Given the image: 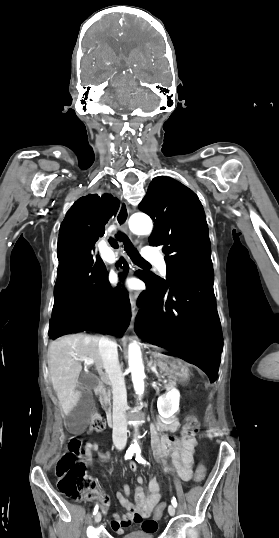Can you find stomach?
I'll return each instance as SVG.
<instances>
[{
    "label": "stomach",
    "instance_id": "obj_1",
    "mask_svg": "<svg viewBox=\"0 0 279 538\" xmlns=\"http://www.w3.org/2000/svg\"><path fill=\"white\" fill-rule=\"evenodd\" d=\"M155 364L160 366L163 374H173L175 382H182L184 374L189 373V364L184 358H179L178 353H156L152 352Z\"/></svg>",
    "mask_w": 279,
    "mask_h": 538
}]
</instances>
